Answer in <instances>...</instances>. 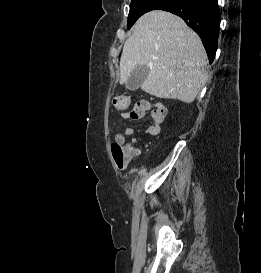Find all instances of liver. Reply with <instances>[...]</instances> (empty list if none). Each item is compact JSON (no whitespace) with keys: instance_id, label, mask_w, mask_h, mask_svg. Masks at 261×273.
<instances>
[{"instance_id":"1","label":"liver","mask_w":261,"mask_h":273,"mask_svg":"<svg viewBox=\"0 0 261 273\" xmlns=\"http://www.w3.org/2000/svg\"><path fill=\"white\" fill-rule=\"evenodd\" d=\"M137 65L149 67L141 89L158 98L191 103L208 79L201 39L180 17L162 10L144 14L133 26L120 59V84Z\"/></svg>"}]
</instances>
